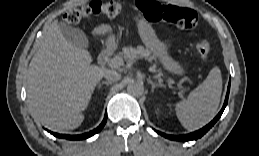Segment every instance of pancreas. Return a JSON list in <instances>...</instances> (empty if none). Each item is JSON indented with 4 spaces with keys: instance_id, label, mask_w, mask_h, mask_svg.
I'll list each match as a JSON object with an SVG mask.
<instances>
[{
    "instance_id": "obj_1",
    "label": "pancreas",
    "mask_w": 259,
    "mask_h": 156,
    "mask_svg": "<svg viewBox=\"0 0 259 156\" xmlns=\"http://www.w3.org/2000/svg\"><path fill=\"white\" fill-rule=\"evenodd\" d=\"M150 51L148 49H145L143 46H137V48L133 47H124L122 52H119L114 58L123 60H135V59H142L147 58L149 60H152L153 57L150 56ZM158 76L162 74L161 70H155Z\"/></svg>"
}]
</instances>
